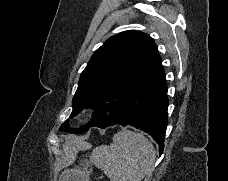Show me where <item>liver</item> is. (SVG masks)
<instances>
[{"instance_id": "1", "label": "liver", "mask_w": 228, "mask_h": 181, "mask_svg": "<svg viewBox=\"0 0 228 181\" xmlns=\"http://www.w3.org/2000/svg\"><path fill=\"white\" fill-rule=\"evenodd\" d=\"M62 147L67 153V161L74 155L75 151H80V149H91L90 143H86L85 139H82V137H75V135L66 137V141Z\"/></svg>"}]
</instances>
